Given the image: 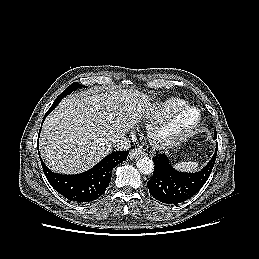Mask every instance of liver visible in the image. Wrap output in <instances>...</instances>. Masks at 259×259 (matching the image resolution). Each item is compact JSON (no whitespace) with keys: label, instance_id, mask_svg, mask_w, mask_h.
<instances>
[{"label":"liver","instance_id":"liver-1","mask_svg":"<svg viewBox=\"0 0 259 259\" xmlns=\"http://www.w3.org/2000/svg\"><path fill=\"white\" fill-rule=\"evenodd\" d=\"M152 110L149 96L137 90L71 95L45 119L39 143L42 159L57 173L84 172Z\"/></svg>","mask_w":259,"mask_h":259}]
</instances>
